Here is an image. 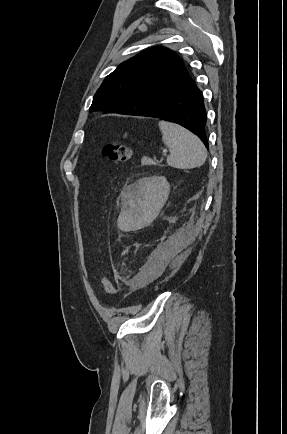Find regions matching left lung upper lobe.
<instances>
[{
	"label": "left lung upper lobe",
	"mask_w": 287,
	"mask_h": 434,
	"mask_svg": "<svg viewBox=\"0 0 287 434\" xmlns=\"http://www.w3.org/2000/svg\"><path fill=\"white\" fill-rule=\"evenodd\" d=\"M182 60L171 50L157 47L120 64L94 95L90 111L135 115L156 104L188 77Z\"/></svg>",
	"instance_id": "left-lung-upper-lobe-1"
}]
</instances>
